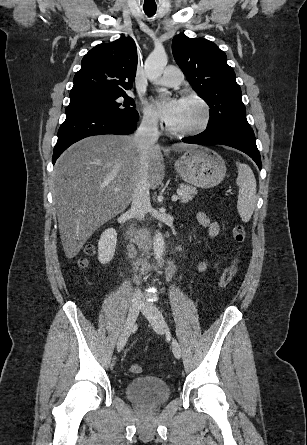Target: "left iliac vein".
Segmentation results:
<instances>
[{"instance_id": "obj_1", "label": "left iliac vein", "mask_w": 307, "mask_h": 445, "mask_svg": "<svg viewBox=\"0 0 307 445\" xmlns=\"http://www.w3.org/2000/svg\"><path fill=\"white\" fill-rule=\"evenodd\" d=\"M141 310L142 313L148 318L156 333L163 334L166 331L167 324L165 318L153 303H143ZM172 351L177 359L181 357V347L176 339L172 340Z\"/></svg>"}]
</instances>
